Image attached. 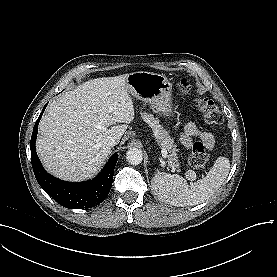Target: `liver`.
<instances>
[{
	"label": "liver",
	"instance_id": "obj_1",
	"mask_svg": "<svg viewBox=\"0 0 277 277\" xmlns=\"http://www.w3.org/2000/svg\"><path fill=\"white\" fill-rule=\"evenodd\" d=\"M128 75L89 80L49 105L36 141V151L49 173L67 181H82L100 170L111 153L105 144L107 137L120 140L134 119L126 87Z\"/></svg>",
	"mask_w": 277,
	"mask_h": 277
}]
</instances>
